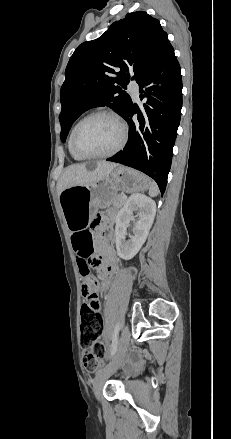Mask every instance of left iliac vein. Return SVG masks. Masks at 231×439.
Returning <instances> with one entry per match:
<instances>
[{"instance_id": "4c4485c4", "label": "left iliac vein", "mask_w": 231, "mask_h": 439, "mask_svg": "<svg viewBox=\"0 0 231 439\" xmlns=\"http://www.w3.org/2000/svg\"><path fill=\"white\" fill-rule=\"evenodd\" d=\"M130 330L128 326H125L119 340L118 351L113 360L100 371L94 379L93 392L95 397L100 400L101 389L105 381L113 375L124 361L125 355L128 350L130 342Z\"/></svg>"}]
</instances>
